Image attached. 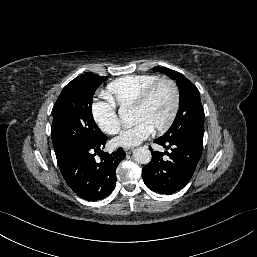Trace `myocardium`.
Returning a JSON list of instances; mask_svg holds the SVG:
<instances>
[{
    "instance_id": "myocardium-1",
    "label": "myocardium",
    "mask_w": 257,
    "mask_h": 257,
    "mask_svg": "<svg viewBox=\"0 0 257 257\" xmlns=\"http://www.w3.org/2000/svg\"><path fill=\"white\" fill-rule=\"evenodd\" d=\"M168 85L171 90H172V94H173V105H172V109L170 112V115L167 119V121L160 127L155 129V132L157 133H163L166 132L174 123L179 108H180V101H181V97H180V90L179 87L177 85V83L169 78H160L157 81H155L154 83H152L150 86H148L139 96V98L137 99V101L131 106L132 110H138L143 108L148 101L150 100V98L152 97V95L154 94V92L161 86V85Z\"/></svg>"
}]
</instances>
